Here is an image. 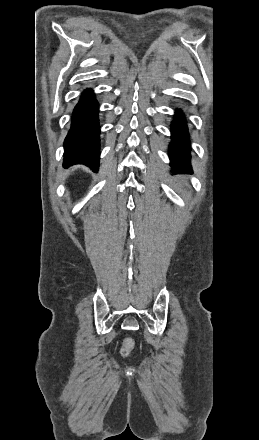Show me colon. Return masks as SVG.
I'll return each instance as SVG.
<instances>
[{
  "label": "colon",
  "instance_id": "obj_1",
  "mask_svg": "<svg viewBox=\"0 0 259 440\" xmlns=\"http://www.w3.org/2000/svg\"><path fill=\"white\" fill-rule=\"evenodd\" d=\"M133 347H134V342H133V340L132 339H130V338H127V339H125L124 340V343H123V346H122V348H121V355L123 356V357H127V356H129L130 355V353L132 352V350H133Z\"/></svg>",
  "mask_w": 259,
  "mask_h": 440
}]
</instances>
